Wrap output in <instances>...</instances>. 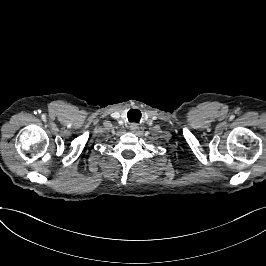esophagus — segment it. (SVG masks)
Here are the masks:
<instances>
[{
	"instance_id": "1",
	"label": "esophagus",
	"mask_w": 266,
	"mask_h": 266,
	"mask_svg": "<svg viewBox=\"0 0 266 266\" xmlns=\"http://www.w3.org/2000/svg\"><path fill=\"white\" fill-rule=\"evenodd\" d=\"M137 128H138V126L130 127L131 130H135Z\"/></svg>"
}]
</instances>
